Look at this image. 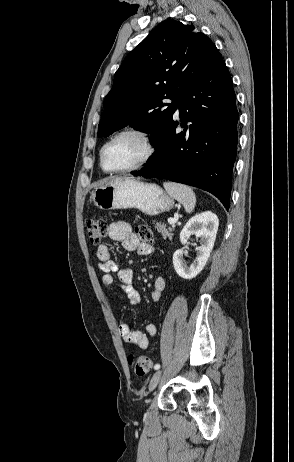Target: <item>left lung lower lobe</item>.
<instances>
[{
  "instance_id": "1",
  "label": "left lung lower lobe",
  "mask_w": 294,
  "mask_h": 462,
  "mask_svg": "<svg viewBox=\"0 0 294 462\" xmlns=\"http://www.w3.org/2000/svg\"><path fill=\"white\" fill-rule=\"evenodd\" d=\"M178 107L180 123L172 120L154 145L158 154L133 174L206 190L228 210L239 115L232 78L222 58L185 89ZM178 124L184 131L176 134Z\"/></svg>"
}]
</instances>
